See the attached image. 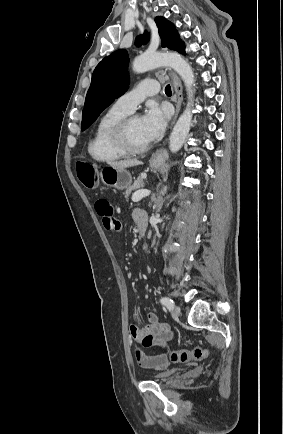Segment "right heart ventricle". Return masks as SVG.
Here are the masks:
<instances>
[{"mask_svg": "<svg viewBox=\"0 0 283 434\" xmlns=\"http://www.w3.org/2000/svg\"><path fill=\"white\" fill-rule=\"evenodd\" d=\"M129 114L130 112L113 105L100 117L88 144V152L94 160L111 163L127 156L114 144L112 131L116 124Z\"/></svg>", "mask_w": 283, "mask_h": 434, "instance_id": "e07e8e85", "label": "right heart ventricle"}]
</instances>
